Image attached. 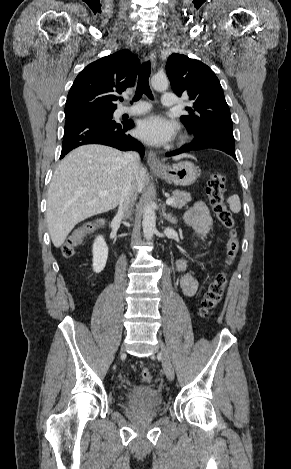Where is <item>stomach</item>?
<instances>
[{"instance_id":"0dacf381","label":"stomach","mask_w":291,"mask_h":469,"mask_svg":"<svg viewBox=\"0 0 291 469\" xmlns=\"http://www.w3.org/2000/svg\"><path fill=\"white\" fill-rule=\"evenodd\" d=\"M153 172L167 182L180 186L193 184L199 175L197 167L190 161L164 166L161 170L155 169Z\"/></svg>"}]
</instances>
